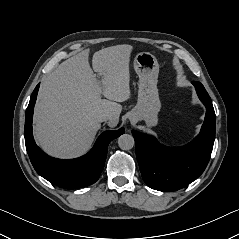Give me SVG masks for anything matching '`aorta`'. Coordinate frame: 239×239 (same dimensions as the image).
Here are the masks:
<instances>
[{"mask_svg": "<svg viewBox=\"0 0 239 239\" xmlns=\"http://www.w3.org/2000/svg\"><path fill=\"white\" fill-rule=\"evenodd\" d=\"M135 144L134 138L130 134H122L118 138V146L122 150H130Z\"/></svg>", "mask_w": 239, "mask_h": 239, "instance_id": "762f6f07", "label": "aorta"}]
</instances>
